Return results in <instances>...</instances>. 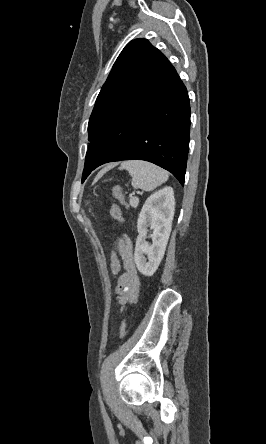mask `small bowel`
<instances>
[{
    "label": "small bowel",
    "instance_id": "small-bowel-1",
    "mask_svg": "<svg viewBox=\"0 0 266 444\" xmlns=\"http://www.w3.org/2000/svg\"><path fill=\"white\" fill-rule=\"evenodd\" d=\"M124 272L117 281L115 292L121 304L134 302L139 294L140 281L136 272L132 245L129 240H121L119 245Z\"/></svg>",
    "mask_w": 266,
    "mask_h": 444
}]
</instances>
